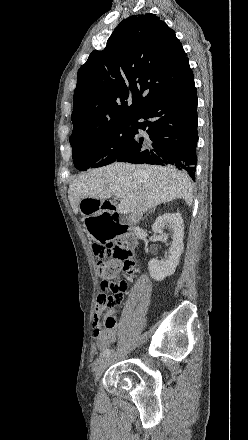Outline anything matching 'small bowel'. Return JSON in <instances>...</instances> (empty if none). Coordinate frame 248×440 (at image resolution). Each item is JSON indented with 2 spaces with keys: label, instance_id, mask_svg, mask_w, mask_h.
<instances>
[{
  "label": "small bowel",
  "instance_id": "1",
  "mask_svg": "<svg viewBox=\"0 0 248 440\" xmlns=\"http://www.w3.org/2000/svg\"><path fill=\"white\" fill-rule=\"evenodd\" d=\"M105 309H102L100 307H96L93 315V321H92V329H93V335L96 338V345L98 350L104 351L106 350L112 342L115 341L117 334H118V327L115 323L112 326H108L106 324V328L102 327L101 324V316L103 314ZM113 310L108 309L106 311V319L108 317H113ZM115 319V318H114Z\"/></svg>",
  "mask_w": 248,
  "mask_h": 440
}]
</instances>
